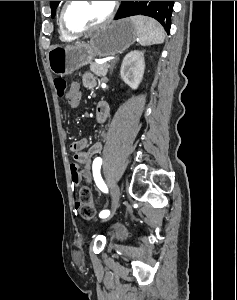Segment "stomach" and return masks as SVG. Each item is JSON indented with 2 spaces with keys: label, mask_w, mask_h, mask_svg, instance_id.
<instances>
[{
  "label": "stomach",
  "mask_w": 237,
  "mask_h": 300,
  "mask_svg": "<svg viewBox=\"0 0 237 300\" xmlns=\"http://www.w3.org/2000/svg\"><path fill=\"white\" fill-rule=\"evenodd\" d=\"M137 41V33L130 19L110 21L90 35L88 43L56 45L47 53L48 67L55 75H72L80 67L88 65L94 57L118 55Z\"/></svg>",
  "instance_id": "1"
}]
</instances>
